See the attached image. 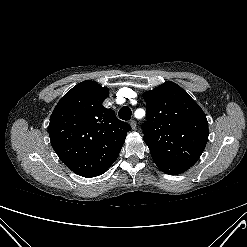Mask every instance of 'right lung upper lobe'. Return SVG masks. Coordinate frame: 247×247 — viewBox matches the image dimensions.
I'll list each match as a JSON object with an SVG mask.
<instances>
[{
    "mask_svg": "<svg viewBox=\"0 0 247 247\" xmlns=\"http://www.w3.org/2000/svg\"><path fill=\"white\" fill-rule=\"evenodd\" d=\"M108 93L106 87L83 81L62 97L50 117L53 149L70 170L86 178L106 172L131 130L102 105Z\"/></svg>",
    "mask_w": 247,
    "mask_h": 247,
    "instance_id": "cb5924a9",
    "label": "right lung upper lobe"
}]
</instances>
